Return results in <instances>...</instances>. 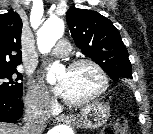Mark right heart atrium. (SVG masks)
Returning <instances> with one entry per match:
<instances>
[{
	"mask_svg": "<svg viewBox=\"0 0 153 134\" xmlns=\"http://www.w3.org/2000/svg\"><path fill=\"white\" fill-rule=\"evenodd\" d=\"M25 103L31 112L39 115H47L54 107V101L48 92L35 84L29 85Z\"/></svg>",
	"mask_w": 153,
	"mask_h": 134,
	"instance_id": "d8ad5b80",
	"label": "right heart atrium"
}]
</instances>
